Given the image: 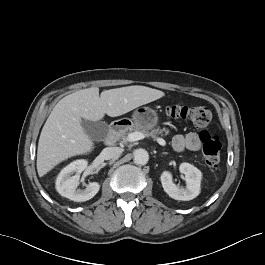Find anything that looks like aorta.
<instances>
[{
  "label": "aorta",
  "instance_id": "1",
  "mask_svg": "<svg viewBox=\"0 0 265 265\" xmlns=\"http://www.w3.org/2000/svg\"><path fill=\"white\" fill-rule=\"evenodd\" d=\"M133 155L134 163L137 165H146L149 161V154L145 149H137Z\"/></svg>",
  "mask_w": 265,
  "mask_h": 265
}]
</instances>
